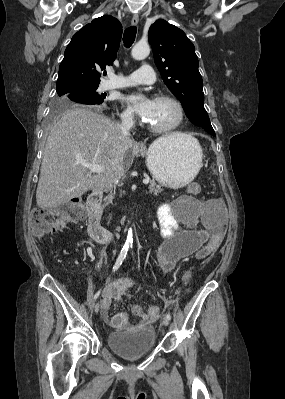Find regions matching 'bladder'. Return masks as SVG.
<instances>
[{
	"label": "bladder",
	"instance_id": "bladder-1",
	"mask_svg": "<svg viewBox=\"0 0 285 399\" xmlns=\"http://www.w3.org/2000/svg\"><path fill=\"white\" fill-rule=\"evenodd\" d=\"M193 198L179 197L175 205L186 206ZM108 347L118 356L132 360L149 354L155 347L156 332L150 328H133L126 332H109L106 335Z\"/></svg>",
	"mask_w": 285,
	"mask_h": 399
}]
</instances>
